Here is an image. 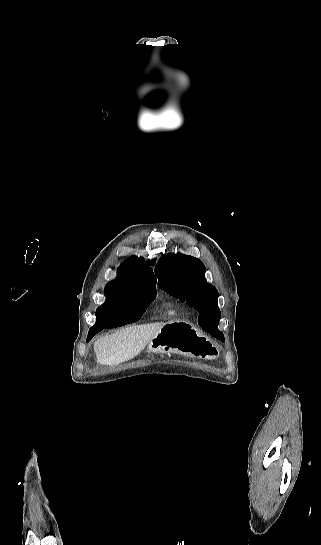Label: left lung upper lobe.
<instances>
[{"label":"left lung upper lobe","mask_w":321,"mask_h":545,"mask_svg":"<svg viewBox=\"0 0 321 545\" xmlns=\"http://www.w3.org/2000/svg\"><path fill=\"white\" fill-rule=\"evenodd\" d=\"M205 270L199 259L183 254L163 256L155 268L159 288L194 306L200 312V326L221 317L217 305L219 294L207 283Z\"/></svg>","instance_id":"obj_1"}]
</instances>
